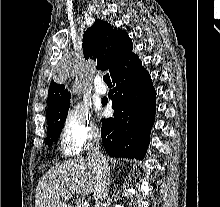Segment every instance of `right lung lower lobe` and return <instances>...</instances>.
<instances>
[{
	"label": "right lung lower lobe",
	"instance_id": "right-lung-lower-lobe-1",
	"mask_svg": "<svg viewBox=\"0 0 220 207\" xmlns=\"http://www.w3.org/2000/svg\"><path fill=\"white\" fill-rule=\"evenodd\" d=\"M111 77L115 94L109 97L115 112L113 118L102 122L103 146L111 157L142 160L156 112V92L151 77L134 53L115 67ZM107 101L103 99V104Z\"/></svg>",
	"mask_w": 220,
	"mask_h": 207
}]
</instances>
